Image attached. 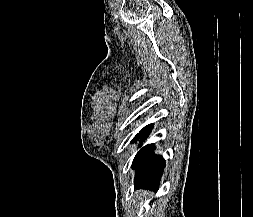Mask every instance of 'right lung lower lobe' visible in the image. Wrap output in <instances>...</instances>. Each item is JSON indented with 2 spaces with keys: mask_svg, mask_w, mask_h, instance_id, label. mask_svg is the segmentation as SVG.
Returning <instances> with one entry per match:
<instances>
[{
  "mask_svg": "<svg viewBox=\"0 0 253 217\" xmlns=\"http://www.w3.org/2000/svg\"><path fill=\"white\" fill-rule=\"evenodd\" d=\"M151 129V124L144 127L132 142H136V140L143 141ZM153 150V144L147 145L134 158L133 168L136 170L134 179L135 187L155 188L159 183L165 167V161L161 156L155 155Z\"/></svg>",
  "mask_w": 253,
  "mask_h": 217,
  "instance_id": "right-lung-lower-lobe-1",
  "label": "right lung lower lobe"
}]
</instances>
